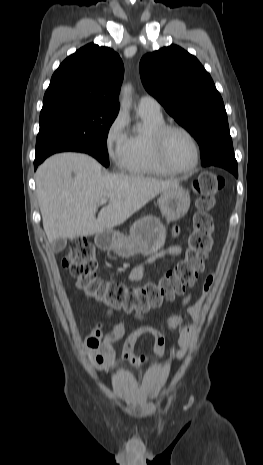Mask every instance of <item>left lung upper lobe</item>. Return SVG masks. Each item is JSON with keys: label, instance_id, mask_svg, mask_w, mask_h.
Masks as SVG:
<instances>
[{"label": "left lung upper lobe", "instance_id": "1", "mask_svg": "<svg viewBox=\"0 0 263 465\" xmlns=\"http://www.w3.org/2000/svg\"><path fill=\"white\" fill-rule=\"evenodd\" d=\"M145 89L197 140L202 162L235 159L223 100L201 63L176 45L140 61Z\"/></svg>", "mask_w": 263, "mask_h": 465}]
</instances>
